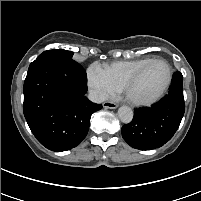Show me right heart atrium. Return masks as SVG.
<instances>
[{"instance_id":"right-heart-atrium-1","label":"right heart atrium","mask_w":201,"mask_h":201,"mask_svg":"<svg viewBox=\"0 0 201 201\" xmlns=\"http://www.w3.org/2000/svg\"><path fill=\"white\" fill-rule=\"evenodd\" d=\"M87 81L92 95L98 101L111 98L119 91L106 70L98 64H92L87 69Z\"/></svg>"}]
</instances>
